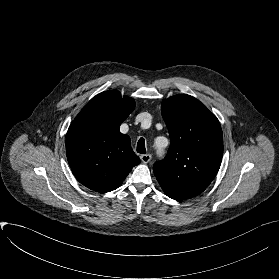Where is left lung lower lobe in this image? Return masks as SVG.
I'll use <instances>...</instances> for the list:
<instances>
[{
	"mask_svg": "<svg viewBox=\"0 0 279 279\" xmlns=\"http://www.w3.org/2000/svg\"><path fill=\"white\" fill-rule=\"evenodd\" d=\"M170 198L175 199V200H185V198L182 197H178V196H173V195H169L167 194Z\"/></svg>",
	"mask_w": 279,
	"mask_h": 279,
	"instance_id": "1",
	"label": "left lung lower lobe"
}]
</instances>
